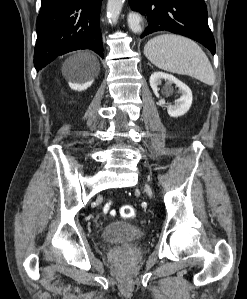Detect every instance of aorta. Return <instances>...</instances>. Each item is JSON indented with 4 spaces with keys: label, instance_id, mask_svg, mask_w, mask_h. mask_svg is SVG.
<instances>
[{
    "label": "aorta",
    "instance_id": "aorta-1",
    "mask_svg": "<svg viewBox=\"0 0 247 299\" xmlns=\"http://www.w3.org/2000/svg\"><path fill=\"white\" fill-rule=\"evenodd\" d=\"M125 0H108L107 16L114 23L117 21Z\"/></svg>",
    "mask_w": 247,
    "mask_h": 299
}]
</instances>
